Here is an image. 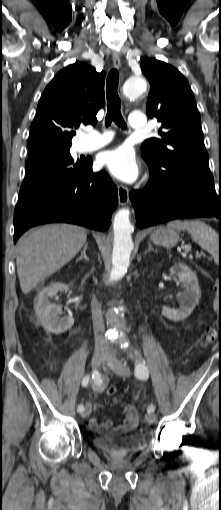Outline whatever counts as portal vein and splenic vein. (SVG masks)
<instances>
[{"label": "portal vein and splenic vein", "mask_w": 221, "mask_h": 510, "mask_svg": "<svg viewBox=\"0 0 221 510\" xmlns=\"http://www.w3.org/2000/svg\"><path fill=\"white\" fill-rule=\"evenodd\" d=\"M189 251V248L187 246H185V252H188ZM199 256V255H197Z\"/></svg>", "instance_id": "18ae733b"}]
</instances>
